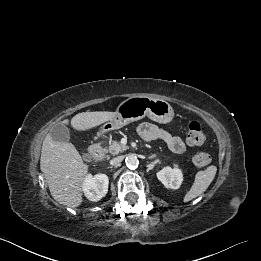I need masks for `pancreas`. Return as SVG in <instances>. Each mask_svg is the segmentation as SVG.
<instances>
[{
	"label": "pancreas",
	"mask_w": 261,
	"mask_h": 261,
	"mask_svg": "<svg viewBox=\"0 0 261 261\" xmlns=\"http://www.w3.org/2000/svg\"><path fill=\"white\" fill-rule=\"evenodd\" d=\"M127 146L122 145L118 141H113L112 143L109 144L108 149H106V152L111 153L112 155H117L125 150H127Z\"/></svg>",
	"instance_id": "pancreas-1"
}]
</instances>
